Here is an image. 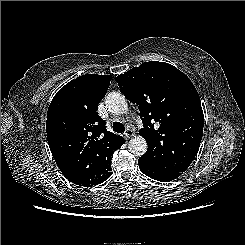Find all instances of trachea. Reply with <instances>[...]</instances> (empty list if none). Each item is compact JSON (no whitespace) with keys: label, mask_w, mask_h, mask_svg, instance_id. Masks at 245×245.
Returning a JSON list of instances; mask_svg holds the SVG:
<instances>
[{"label":"trachea","mask_w":245,"mask_h":245,"mask_svg":"<svg viewBox=\"0 0 245 245\" xmlns=\"http://www.w3.org/2000/svg\"><path fill=\"white\" fill-rule=\"evenodd\" d=\"M113 130L117 133H123L125 131V127L120 122H114L113 123Z\"/></svg>","instance_id":"obj_1"}]
</instances>
